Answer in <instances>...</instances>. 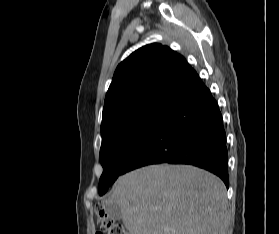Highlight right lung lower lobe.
Returning <instances> with one entry per match:
<instances>
[{"mask_svg":"<svg viewBox=\"0 0 279 234\" xmlns=\"http://www.w3.org/2000/svg\"><path fill=\"white\" fill-rule=\"evenodd\" d=\"M227 160L222 115L199 78L168 107L131 155L122 174L150 164H191L216 174L228 188Z\"/></svg>","mask_w":279,"mask_h":234,"instance_id":"obj_1","label":"right lung lower lobe"}]
</instances>
